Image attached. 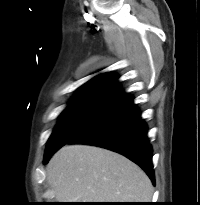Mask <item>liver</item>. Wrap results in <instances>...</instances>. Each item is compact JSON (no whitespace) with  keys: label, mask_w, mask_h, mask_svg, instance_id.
Masks as SVG:
<instances>
[{"label":"liver","mask_w":200,"mask_h":205,"mask_svg":"<svg viewBox=\"0 0 200 205\" xmlns=\"http://www.w3.org/2000/svg\"><path fill=\"white\" fill-rule=\"evenodd\" d=\"M59 202H150L153 186L141 168L115 152L66 145L47 165Z\"/></svg>","instance_id":"liver-1"}]
</instances>
